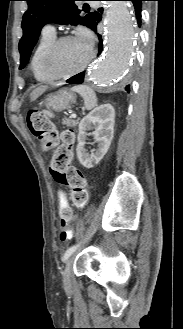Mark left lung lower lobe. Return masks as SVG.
<instances>
[{"mask_svg": "<svg viewBox=\"0 0 183 329\" xmlns=\"http://www.w3.org/2000/svg\"><path fill=\"white\" fill-rule=\"evenodd\" d=\"M132 1L135 7V14H136V19L138 22V25H141V5H142V1L145 0H129ZM101 19V17H99L98 15L95 16V23L93 25V27L91 28L94 32H97V22ZM98 38H99V54L102 52L103 49V43H102V38L100 34H97ZM84 76H85V72H81L79 74L74 75L73 77L69 78L67 80V83L70 84H81L84 81ZM125 90L127 92H130V85H127L125 87Z\"/></svg>", "mask_w": 183, "mask_h": 329, "instance_id": "left-lung-lower-lobe-1", "label": "left lung lower lobe"}]
</instances>
